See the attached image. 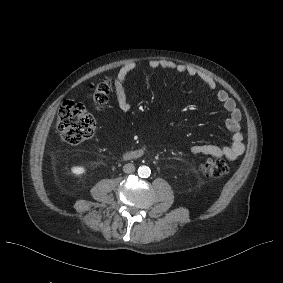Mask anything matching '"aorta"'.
Masks as SVG:
<instances>
[{
  "label": "aorta",
  "mask_w": 283,
  "mask_h": 283,
  "mask_svg": "<svg viewBox=\"0 0 283 283\" xmlns=\"http://www.w3.org/2000/svg\"><path fill=\"white\" fill-rule=\"evenodd\" d=\"M151 174V170L148 166H140L138 168V175L141 177V178H148Z\"/></svg>",
  "instance_id": "obj_1"
}]
</instances>
